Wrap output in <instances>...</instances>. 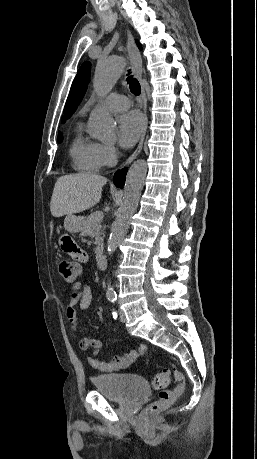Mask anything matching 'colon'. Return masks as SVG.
Listing matches in <instances>:
<instances>
[{
	"label": "colon",
	"mask_w": 257,
	"mask_h": 459,
	"mask_svg": "<svg viewBox=\"0 0 257 459\" xmlns=\"http://www.w3.org/2000/svg\"><path fill=\"white\" fill-rule=\"evenodd\" d=\"M81 272V264H69L68 259L58 262L59 275L69 284L76 281ZM171 376L178 382L174 389H167ZM152 387L160 390L158 399L151 403L146 409L147 416L154 415L168 408L185 389V378L183 374L175 369H164L157 373L152 380Z\"/></svg>",
	"instance_id": "colon-1"
}]
</instances>
